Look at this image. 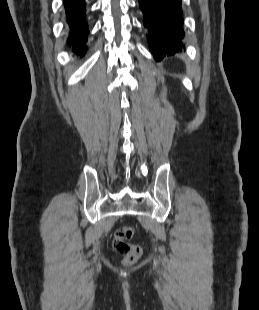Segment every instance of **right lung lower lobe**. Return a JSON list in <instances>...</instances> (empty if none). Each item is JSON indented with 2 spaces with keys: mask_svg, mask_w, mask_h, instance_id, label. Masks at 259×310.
<instances>
[{
  "mask_svg": "<svg viewBox=\"0 0 259 310\" xmlns=\"http://www.w3.org/2000/svg\"><path fill=\"white\" fill-rule=\"evenodd\" d=\"M69 34L67 43L76 52H85V42L89 33L86 22V8L84 0H64Z\"/></svg>",
  "mask_w": 259,
  "mask_h": 310,
  "instance_id": "98d812e1",
  "label": "right lung lower lobe"
}]
</instances>
